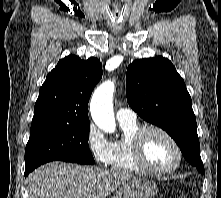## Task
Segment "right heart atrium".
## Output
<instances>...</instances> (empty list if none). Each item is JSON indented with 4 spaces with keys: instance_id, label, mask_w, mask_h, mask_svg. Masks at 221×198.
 Segmentation results:
<instances>
[{
    "instance_id": "right-heart-atrium-1",
    "label": "right heart atrium",
    "mask_w": 221,
    "mask_h": 198,
    "mask_svg": "<svg viewBox=\"0 0 221 198\" xmlns=\"http://www.w3.org/2000/svg\"><path fill=\"white\" fill-rule=\"evenodd\" d=\"M86 144L92 157L98 164H108L111 142L107 140L103 132L93 123L88 127Z\"/></svg>"
}]
</instances>
